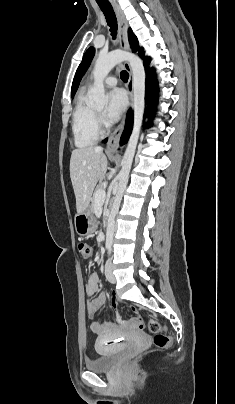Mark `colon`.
Returning a JSON list of instances; mask_svg holds the SVG:
<instances>
[{"mask_svg": "<svg viewBox=\"0 0 235 404\" xmlns=\"http://www.w3.org/2000/svg\"><path fill=\"white\" fill-rule=\"evenodd\" d=\"M79 251H80L81 257L84 260L89 259L93 253L92 247L89 244L84 243V242L79 244ZM118 321L122 322V319L120 316H118ZM130 324L137 329L144 328L143 320L138 317L132 318L130 320ZM161 328H162V325L158 320L152 319L148 323V330H149V332H151L154 335L153 341H154L155 347H157L159 349H166L171 345V339L169 336L160 333Z\"/></svg>", "mask_w": 235, "mask_h": 404, "instance_id": "1", "label": "colon"}]
</instances>
